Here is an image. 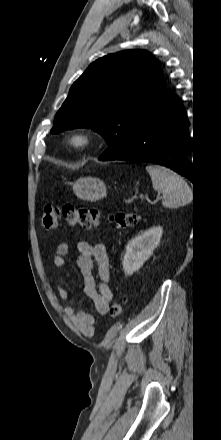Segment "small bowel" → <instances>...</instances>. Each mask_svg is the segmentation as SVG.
Masks as SVG:
<instances>
[{
	"mask_svg": "<svg viewBox=\"0 0 221 440\" xmlns=\"http://www.w3.org/2000/svg\"><path fill=\"white\" fill-rule=\"evenodd\" d=\"M77 249L79 252L77 266L83 279L84 293L91 300L96 312L100 316H105L108 314L110 303L114 297L110 286V264L107 249L103 244H90L87 241H80L77 244ZM68 253V244L61 242L53 260L57 268L66 267L65 257ZM95 269L98 283L94 276ZM57 292L63 303L70 299V293L64 287H58ZM65 314L85 336L92 337L95 334V319L91 314L83 310L76 311L72 306H66Z\"/></svg>",
	"mask_w": 221,
	"mask_h": 440,
	"instance_id": "obj_1",
	"label": "small bowel"
}]
</instances>
